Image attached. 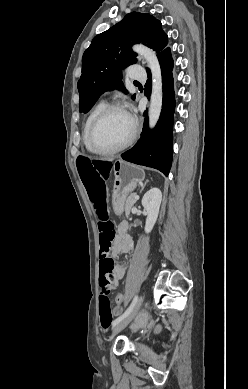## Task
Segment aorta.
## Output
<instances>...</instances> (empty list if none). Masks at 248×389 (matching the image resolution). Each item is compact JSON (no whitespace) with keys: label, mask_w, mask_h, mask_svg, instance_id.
Masks as SVG:
<instances>
[{"label":"aorta","mask_w":248,"mask_h":389,"mask_svg":"<svg viewBox=\"0 0 248 389\" xmlns=\"http://www.w3.org/2000/svg\"><path fill=\"white\" fill-rule=\"evenodd\" d=\"M133 50L146 60L152 73V92L149 107V127L152 129L156 125L162 109V75L156 53L143 45H135Z\"/></svg>","instance_id":"762f6f07"}]
</instances>
